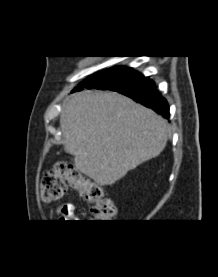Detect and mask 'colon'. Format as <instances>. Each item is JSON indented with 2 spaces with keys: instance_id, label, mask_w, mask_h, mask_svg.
<instances>
[{
  "instance_id": "colon-1",
  "label": "colon",
  "mask_w": 218,
  "mask_h": 277,
  "mask_svg": "<svg viewBox=\"0 0 218 277\" xmlns=\"http://www.w3.org/2000/svg\"><path fill=\"white\" fill-rule=\"evenodd\" d=\"M67 187L79 191L90 204L93 222H104L113 218L116 208L113 201L106 198L100 186L85 178L80 170L66 162H57L41 180V199L52 203L62 198Z\"/></svg>"
}]
</instances>
